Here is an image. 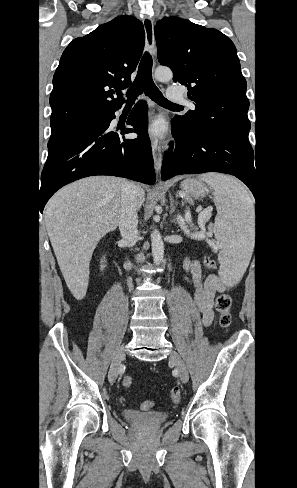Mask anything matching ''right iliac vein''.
I'll return each instance as SVG.
<instances>
[{
  "instance_id": "obj_1",
  "label": "right iliac vein",
  "mask_w": 297,
  "mask_h": 488,
  "mask_svg": "<svg viewBox=\"0 0 297 488\" xmlns=\"http://www.w3.org/2000/svg\"><path fill=\"white\" fill-rule=\"evenodd\" d=\"M124 358H125V348L122 345L117 349L111 362V366L108 373V380L110 383L115 382L119 374L121 363L124 360Z\"/></svg>"
}]
</instances>
